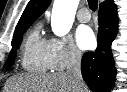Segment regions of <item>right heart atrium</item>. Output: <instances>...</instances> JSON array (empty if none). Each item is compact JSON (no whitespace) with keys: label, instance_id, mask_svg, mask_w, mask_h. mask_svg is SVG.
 <instances>
[{"label":"right heart atrium","instance_id":"right-heart-atrium-1","mask_svg":"<svg viewBox=\"0 0 127 92\" xmlns=\"http://www.w3.org/2000/svg\"><path fill=\"white\" fill-rule=\"evenodd\" d=\"M81 59L82 53L71 37H52L47 40V61L52 70H64Z\"/></svg>","mask_w":127,"mask_h":92}]
</instances>
